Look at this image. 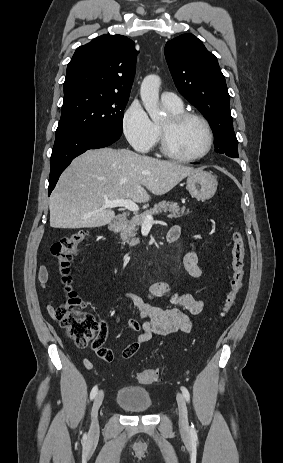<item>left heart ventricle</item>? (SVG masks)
Wrapping results in <instances>:
<instances>
[{
	"instance_id": "b2bd125f",
	"label": "left heart ventricle",
	"mask_w": 283,
	"mask_h": 463,
	"mask_svg": "<svg viewBox=\"0 0 283 463\" xmlns=\"http://www.w3.org/2000/svg\"><path fill=\"white\" fill-rule=\"evenodd\" d=\"M168 126V119L161 122ZM169 145L177 154L191 157L202 153L207 144V133L201 122L189 119L175 128H168Z\"/></svg>"
}]
</instances>
